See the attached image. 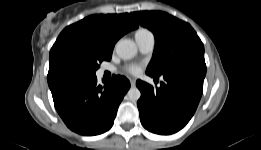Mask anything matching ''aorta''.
Instances as JSON below:
<instances>
[{
    "instance_id": "obj_1",
    "label": "aorta",
    "mask_w": 261,
    "mask_h": 150,
    "mask_svg": "<svg viewBox=\"0 0 261 150\" xmlns=\"http://www.w3.org/2000/svg\"><path fill=\"white\" fill-rule=\"evenodd\" d=\"M116 53L122 59H131L136 55L137 47L132 40L122 39L116 44ZM127 96L130 100L137 101L141 96V92L137 87H131Z\"/></svg>"
}]
</instances>
